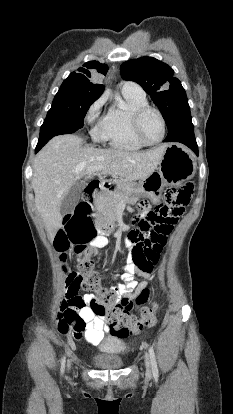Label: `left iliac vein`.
<instances>
[{
    "instance_id": "left-iliac-vein-1",
    "label": "left iliac vein",
    "mask_w": 233,
    "mask_h": 414,
    "mask_svg": "<svg viewBox=\"0 0 233 414\" xmlns=\"http://www.w3.org/2000/svg\"><path fill=\"white\" fill-rule=\"evenodd\" d=\"M145 366L147 374H151V361L148 354H145Z\"/></svg>"
}]
</instances>
